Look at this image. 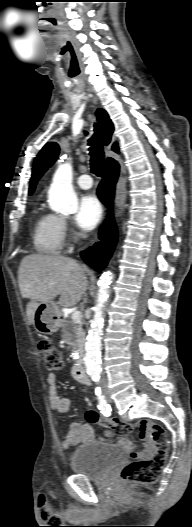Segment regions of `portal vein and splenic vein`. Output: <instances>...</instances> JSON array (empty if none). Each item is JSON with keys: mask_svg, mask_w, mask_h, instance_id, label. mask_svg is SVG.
Segmentation results:
<instances>
[{"mask_svg": "<svg viewBox=\"0 0 192 527\" xmlns=\"http://www.w3.org/2000/svg\"><path fill=\"white\" fill-rule=\"evenodd\" d=\"M81 318H82V315H81V312L80 311H74L71 315V319L74 323L78 324L81 322Z\"/></svg>", "mask_w": 192, "mask_h": 527, "instance_id": "18ae733b", "label": "portal vein and splenic vein"}]
</instances>
